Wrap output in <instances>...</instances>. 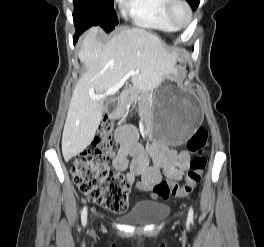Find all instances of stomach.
Returning <instances> with one entry per match:
<instances>
[{
  "instance_id": "0dacf381",
  "label": "stomach",
  "mask_w": 264,
  "mask_h": 247,
  "mask_svg": "<svg viewBox=\"0 0 264 247\" xmlns=\"http://www.w3.org/2000/svg\"><path fill=\"white\" fill-rule=\"evenodd\" d=\"M201 120L196 98L181 90L174 78H165L152 96V137L165 142L167 147H178L183 141H190Z\"/></svg>"
}]
</instances>
